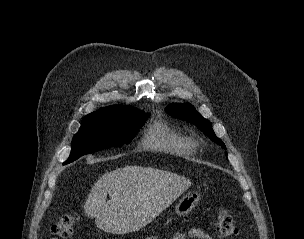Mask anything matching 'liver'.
I'll return each instance as SVG.
<instances>
[{"mask_svg":"<svg viewBox=\"0 0 304 239\" xmlns=\"http://www.w3.org/2000/svg\"><path fill=\"white\" fill-rule=\"evenodd\" d=\"M190 186V180L172 172L125 166L106 172L94 183L84 210L105 232H135L152 222Z\"/></svg>","mask_w":304,"mask_h":239,"instance_id":"1","label":"liver"}]
</instances>
